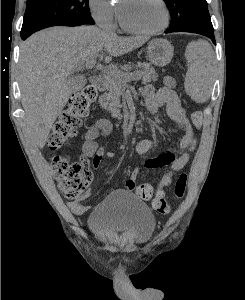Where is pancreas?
<instances>
[{
	"label": "pancreas",
	"instance_id": "cf45deb5",
	"mask_svg": "<svg viewBox=\"0 0 245 300\" xmlns=\"http://www.w3.org/2000/svg\"><path fill=\"white\" fill-rule=\"evenodd\" d=\"M136 71L138 78L142 79L145 83L155 81L158 75L155 72L154 67L148 63H138ZM130 66H125L121 70H110L104 75V79L107 83V91L100 97V104L103 108L107 109L111 113L112 117H121L120 114V95L121 89L124 87L130 74Z\"/></svg>",
	"mask_w": 245,
	"mask_h": 300
}]
</instances>
